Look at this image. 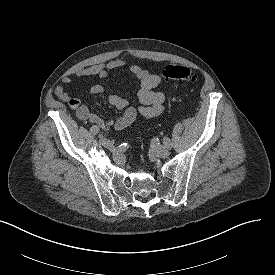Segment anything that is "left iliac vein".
Wrapping results in <instances>:
<instances>
[{
    "label": "left iliac vein",
    "mask_w": 275,
    "mask_h": 275,
    "mask_svg": "<svg viewBox=\"0 0 275 275\" xmlns=\"http://www.w3.org/2000/svg\"><path fill=\"white\" fill-rule=\"evenodd\" d=\"M152 151L154 154L161 158H166L170 154L169 150L166 147L159 144H154L152 147Z\"/></svg>",
    "instance_id": "left-iliac-vein-1"
}]
</instances>
